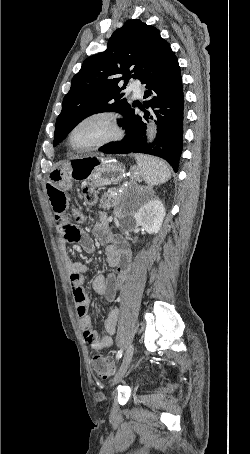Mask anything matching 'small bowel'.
<instances>
[{"mask_svg": "<svg viewBox=\"0 0 250 454\" xmlns=\"http://www.w3.org/2000/svg\"><path fill=\"white\" fill-rule=\"evenodd\" d=\"M76 189L77 184L72 176L60 172L52 173L46 184L47 195L64 242H78L84 251L92 253L95 249L94 241L87 233L79 230L68 215ZM76 215H78V219H81L79 214ZM94 234L100 242H110L105 249L106 261L109 266L116 270V274H99L93 281L94 291L109 304V312L105 320L107 333L105 336H98L92 328L91 319L88 316L89 300L85 292L84 280L90 272L89 268L86 265L73 262L69 258H66V267L84 339L92 349L104 351L110 349L114 343L113 336L116 332L119 310L113 303L116 302L120 288L126 278L130 264V252L128 246L120 237H112L109 234L105 220L99 221L94 229Z\"/></svg>", "mask_w": 250, "mask_h": 454, "instance_id": "1", "label": "small bowel"}]
</instances>
